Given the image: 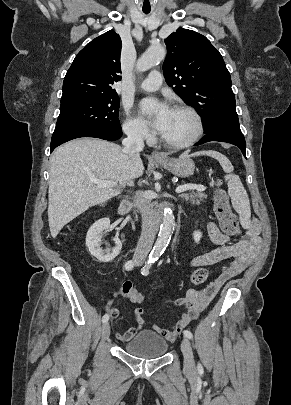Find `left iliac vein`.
Wrapping results in <instances>:
<instances>
[{
  "mask_svg": "<svg viewBox=\"0 0 291 405\" xmlns=\"http://www.w3.org/2000/svg\"><path fill=\"white\" fill-rule=\"evenodd\" d=\"M181 351L184 357V367L187 371H193L195 368V362L193 357L192 348L187 338H184L181 342Z\"/></svg>",
  "mask_w": 291,
  "mask_h": 405,
  "instance_id": "1",
  "label": "left iliac vein"
}]
</instances>
